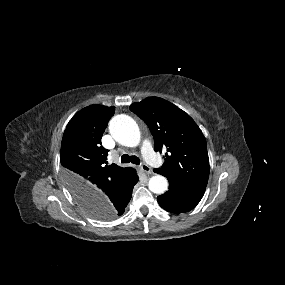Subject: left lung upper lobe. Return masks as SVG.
Returning <instances> with one entry per match:
<instances>
[{
    "label": "left lung upper lobe",
    "instance_id": "obj_1",
    "mask_svg": "<svg viewBox=\"0 0 285 285\" xmlns=\"http://www.w3.org/2000/svg\"><path fill=\"white\" fill-rule=\"evenodd\" d=\"M149 127L155 151H166L161 175L205 186L209 178L206 140L195 122L185 112L157 97L130 105Z\"/></svg>",
    "mask_w": 285,
    "mask_h": 285
}]
</instances>
